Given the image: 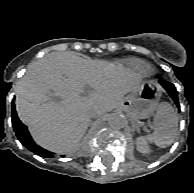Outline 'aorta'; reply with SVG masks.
<instances>
[{
  "instance_id": "762f6f07",
  "label": "aorta",
  "mask_w": 194,
  "mask_h": 193,
  "mask_svg": "<svg viewBox=\"0 0 194 193\" xmlns=\"http://www.w3.org/2000/svg\"><path fill=\"white\" fill-rule=\"evenodd\" d=\"M108 124L113 129H121L126 125V119L119 113H113L108 118Z\"/></svg>"
}]
</instances>
